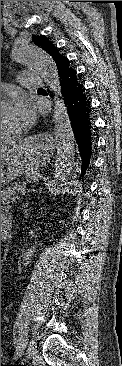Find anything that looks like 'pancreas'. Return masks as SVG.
<instances>
[{"label":"pancreas","instance_id":"1","mask_svg":"<svg viewBox=\"0 0 122 366\" xmlns=\"http://www.w3.org/2000/svg\"><path fill=\"white\" fill-rule=\"evenodd\" d=\"M25 190L23 185L17 183L11 184L1 190V202L9 203L18 192Z\"/></svg>","mask_w":122,"mask_h":366}]
</instances>
